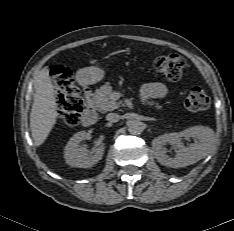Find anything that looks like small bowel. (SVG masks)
<instances>
[{
  "mask_svg": "<svg viewBox=\"0 0 234 231\" xmlns=\"http://www.w3.org/2000/svg\"><path fill=\"white\" fill-rule=\"evenodd\" d=\"M167 92L166 85L160 82L149 83L142 88V96L145 100L163 98Z\"/></svg>",
  "mask_w": 234,
  "mask_h": 231,
  "instance_id": "1",
  "label": "small bowel"
}]
</instances>
